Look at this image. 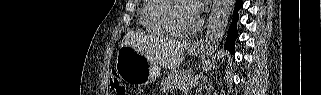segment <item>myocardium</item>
I'll return each mask as SVG.
<instances>
[{
	"label": "myocardium",
	"mask_w": 321,
	"mask_h": 95,
	"mask_svg": "<svg viewBox=\"0 0 321 95\" xmlns=\"http://www.w3.org/2000/svg\"><path fill=\"white\" fill-rule=\"evenodd\" d=\"M176 3H186L192 7V4L187 0H164L162 6L159 8V11H158V18H159L160 22L173 35L180 36V37H186V36L194 34L199 29V27L201 25L200 17L196 14L195 23L190 29L181 30V29L177 28L173 24V22L171 21L170 14H169L172 6Z\"/></svg>",
	"instance_id": "myocardium-1"
}]
</instances>
